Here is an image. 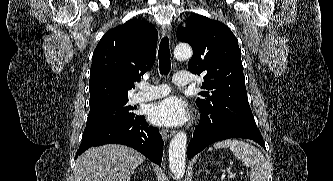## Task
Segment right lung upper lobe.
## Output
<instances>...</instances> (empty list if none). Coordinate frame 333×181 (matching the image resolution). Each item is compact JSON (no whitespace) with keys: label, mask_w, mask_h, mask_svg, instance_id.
<instances>
[{"label":"right lung upper lobe","mask_w":333,"mask_h":181,"mask_svg":"<svg viewBox=\"0 0 333 181\" xmlns=\"http://www.w3.org/2000/svg\"><path fill=\"white\" fill-rule=\"evenodd\" d=\"M157 37L152 24L134 19L101 38L90 69V109L128 99L133 83L154 64Z\"/></svg>","instance_id":"1"}]
</instances>
